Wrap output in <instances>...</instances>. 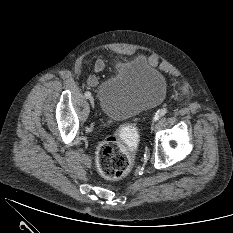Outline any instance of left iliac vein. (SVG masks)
<instances>
[{
  "label": "left iliac vein",
  "mask_w": 233,
  "mask_h": 233,
  "mask_svg": "<svg viewBox=\"0 0 233 233\" xmlns=\"http://www.w3.org/2000/svg\"><path fill=\"white\" fill-rule=\"evenodd\" d=\"M154 128H155V123L153 122L151 126V130H154Z\"/></svg>",
  "instance_id": "obj_1"
}]
</instances>
